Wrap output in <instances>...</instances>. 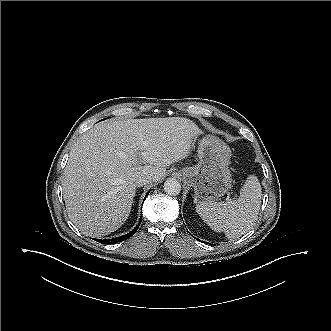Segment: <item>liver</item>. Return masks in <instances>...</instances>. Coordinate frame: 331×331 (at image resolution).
Wrapping results in <instances>:
<instances>
[{"label": "liver", "mask_w": 331, "mask_h": 331, "mask_svg": "<svg viewBox=\"0 0 331 331\" xmlns=\"http://www.w3.org/2000/svg\"><path fill=\"white\" fill-rule=\"evenodd\" d=\"M199 133L191 120L169 117L113 120L83 134L64 171L71 221L91 237L119 229L129 217L136 179L151 175L152 182L160 180L166 167L189 155Z\"/></svg>", "instance_id": "6515ba94"}]
</instances>
